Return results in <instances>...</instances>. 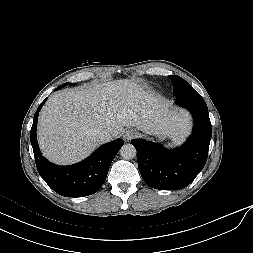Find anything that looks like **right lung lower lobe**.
<instances>
[{
  "label": "right lung lower lobe",
  "mask_w": 253,
  "mask_h": 253,
  "mask_svg": "<svg viewBox=\"0 0 253 253\" xmlns=\"http://www.w3.org/2000/svg\"><path fill=\"white\" fill-rule=\"evenodd\" d=\"M46 100L47 98L35 112L30 131V140L40 176L62 196L83 197L94 194L104 184L112 160L122 146L123 140L119 138L102 145L88 158L74 165L58 166L49 162L42 156L36 138L38 114Z\"/></svg>",
  "instance_id": "1"
}]
</instances>
